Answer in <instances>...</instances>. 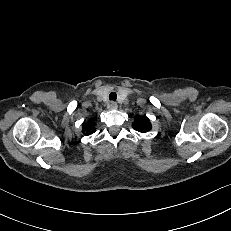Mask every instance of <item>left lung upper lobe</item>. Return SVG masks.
Wrapping results in <instances>:
<instances>
[{
    "instance_id": "1",
    "label": "left lung upper lobe",
    "mask_w": 231,
    "mask_h": 231,
    "mask_svg": "<svg viewBox=\"0 0 231 231\" xmlns=\"http://www.w3.org/2000/svg\"><path fill=\"white\" fill-rule=\"evenodd\" d=\"M132 127L139 132H147L151 129V123L146 116H136Z\"/></svg>"
}]
</instances>
